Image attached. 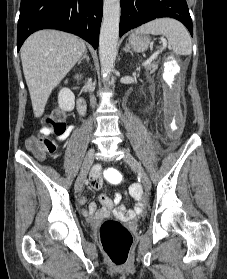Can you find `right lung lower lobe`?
<instances>
[{
    "instance_id": "98d812e1",
    "label": "right lung lower lobe",
    "mask_w": 227,
    "mask_h": 279,
    "mask_svg": "<svg viewBox=\"0 0 227 279\" xmlns=\"http://www.w3.org/2000/svg\"><path fill=\"white\" fill-rule=\"evenodd\" d=\"M102 11V0H21L17 49L30 34L47 28L76 34L96 49Z\"/></svg>"
}]
</instances>
